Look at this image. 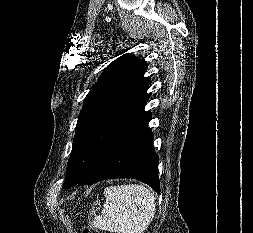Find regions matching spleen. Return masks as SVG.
I'll use <instances>...</instances> for the list:
<instances>
[{"label":"spleen","instance_id":"spleen-1","mask_svg":"<svg viewBox=\"0 0 253 233\" xmlns=\"http://www.w3.org/2000/svg\"><path fill=\"white\" fill-rule=\"evenodd\" d=\"M106 202L100 216L92 221L95 228L117 233H143L152 221L155 196L143 185L129 184L104 189Z\"/></svg>","mask_w":253,"mask_h":233}]
</instances>
